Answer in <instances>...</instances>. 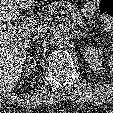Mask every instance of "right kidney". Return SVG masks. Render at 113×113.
I'll use <instances>...</instances> for the list:
<instances>
[{"mask_svg": "<svg viewBox=\"0 0 113 113\" xmlns=\"http://www.w3.org/2000/svg\"><path fill=\"white\" fill-rule=\"evenodd\" d=\"M33 67H34V64H29L26 66V69L28 70V72L31 73V70L33 69Z\"/></svg>", "mask_w": 113, "mask_h": 113, "instance_id": "ca27d5eb", "label": "right kidney"}]
</instances>
